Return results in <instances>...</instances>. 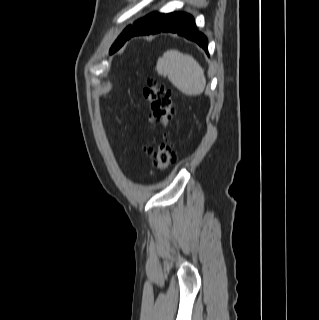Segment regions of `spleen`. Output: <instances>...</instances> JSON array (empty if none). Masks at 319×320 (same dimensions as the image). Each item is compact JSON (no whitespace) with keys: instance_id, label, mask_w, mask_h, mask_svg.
Returning <instances> with one entry per match:
<instances>
[{"instance_id":"3e777b00","label":"spleen","mask_w":319,"mask_h":320,"mask_svg":"<svg viewBox=\"0 0 319 320\" xmlns=\"http://www.w3.org/2000/svg\"><path fill=\"white\" fill-rule=\"evenodd\" d=\"M157 73L167 76L169 81L182 93L197 96L206 85L204 70L189 54L177 50H167L157 61Z\"/></svg>"}]
</instances>
